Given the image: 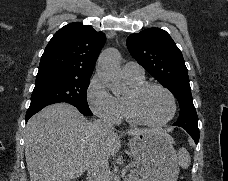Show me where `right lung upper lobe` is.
Segmentation results:
<instances>
[{
    "label": "right lung upper lobe",
    "instance_id": "cb5924a9",
    "mask_svg": "<svg viewBox=\"0 0 228 181\" xmlns=\"http://www.w3.org/2000/svg\"><path fill=\"white\" fill-rule=\"evenodd\" d=\"M105 43V35L90 25L70 23L58 30L41 57L37 77L62 75L89 78Z\"/></svg>",
    "mask_w": 228,
    "mask_h": 181
}]
</instances>
